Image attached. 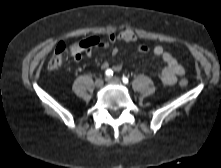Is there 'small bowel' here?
Instances as JSON below:
<instances>
[{"instance_id":"small-bowel-1","label":"small bowel","mask_w":221,"mask_h":168,"mask_svg":"<svg viewBox=\"0 0 221 168\" xmlns=\"http://www.w3.org/2000/svg\"><path fill=\"white\" fill-rule=\"evenodd\" d=\"M109 43H112L108 39ZM128 42V41H126ZM129 43V42H128ZM136 50L140 53H146L150 50L149 46L142 43L136 46ZM119 52L117 47H114L111 51L113 56H116ZM152 52L154 55L160 57L165 66L161 70L159 74L160 80L166 85H173L177 82L179 77L184 75V68L183 66L172 56V54L166 51L162 46L156 45L152 48ZM91 55V53H88ZM81 59V58H80ZM79 60V59H78ZM103 69H113L115 72H119L122 69V65L120 63L111 64L108 61H104L102 63Z\"/></svg>"}]
</instances>
